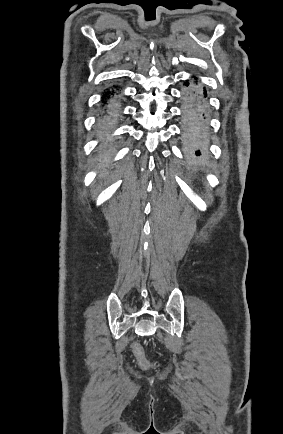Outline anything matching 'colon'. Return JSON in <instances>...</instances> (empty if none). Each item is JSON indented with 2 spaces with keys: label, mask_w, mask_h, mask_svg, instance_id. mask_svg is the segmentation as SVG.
I'll return each instance as SVG.
<instances>
[{
  "label": "colon",
  "mask_w": 283,
  "mask_h": 434,
  "mask_svg": "<svg viewBox=\"0 0 283 434\" xmlns=\"http://www.w3.org/2000/svg\"><path fill=\"white\" fill-rule=\"evenodd\" d=\"M132 349H133V353H134V355H135V356L137 357V359L139 360L140 365H141L143 368H146V367L148 366V363L144 360L143 351H142V348L140 347V345H138V344H134L133 347H132Z\"/></svg>",
  "instance_id": "obj_1"
}]
</instances>
